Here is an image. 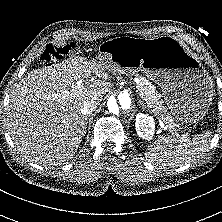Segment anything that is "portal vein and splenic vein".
<instances>
[{
  "label": "portal vein and splenic vein",
  "mask_w": 222,
  "mask_h": 222,
  "mask_svg": "<svg viewBox=\"0 0 222 222\" xmlns=\"http://www.w3.org/2000/svg\"><path fill=\"white\" fill-rule=\"evenodd\" d=\"M78 85H80V83H78ZM67 93H69V92H67V91H65V92H63V94H67ZM165 122L164 121H161L160 120V124H161V126H164L165 124H164ZM167 128H169V129H171L172 128V125H167L166 126ZM175 135L177 136V137H180L181 139H183V140H186L185 138V136L183 135V134H179L178 132H175Z\"/></svg>",
  "instance_id": "1"
}]
</instances>
